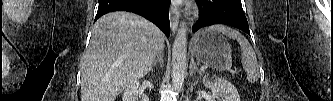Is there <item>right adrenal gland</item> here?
Listing matches in <instances>:
<instances>
[{"mask_svg": "<svg viewBox=\"0 0 333 101\" xmlns=\"http://www.w3.org/2000/svg\"><path fill=\"white\" fill-rule=\"evenodd\" d=\"M160 63V67H162L163 65V49L159 51V53L157 54L156 59L154 60V67L157 65V63Z\"/></svg>", "mask_w": 333, "mask_h": 101, "instance_id": "obj_1", "label": "right adrenal gland"}]
</instances>
